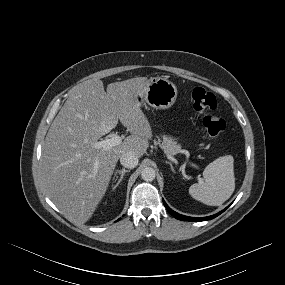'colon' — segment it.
<instances>
[{
  "mask_svg": "<svg viewBox=\"0 0 285 285\" xmlns=\"http://www.w3.org/2000/svg\"><path fill=\"white\" fill-rule=\"evenodd\" d=\"M192 103L194 110L201 116L202 125L211 138L218 137L226 128L223 119L214 114L217 100L214 94L197 87L192 91Z\"/></svg>",
  "mask_w": 285,
  "mask_h": 285,
  "instance_id": "5ec220e1",
  "label": "colon"
}]
</instances>
